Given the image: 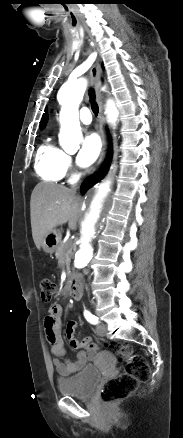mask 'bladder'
<instances>
[{
    "label": "bladder",
    "instance_id": "bladder-1",
    "mask_svg": "<svg viewBox=\"0 0 183 438\" xmlns=\"http://www.w3.org/2000/svg\"><path fill=\"white\" fill-rule=\"evenodd\" d=\"M101 381L96 367H85L78 374L58 380V391L62 395L90 398Z\"/></svg>",
    "mask_w": 183,
    "mask_h": 438
}]
</instances>
